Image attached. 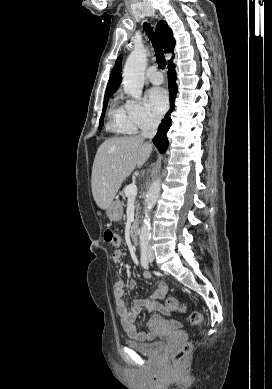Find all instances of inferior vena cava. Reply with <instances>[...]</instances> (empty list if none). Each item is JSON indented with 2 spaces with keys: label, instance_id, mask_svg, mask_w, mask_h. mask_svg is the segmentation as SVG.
Returning a JSON list of instances; mask_svg holds the SVG:
<instances>
[{
  "label": "inferior vena cava",
  "instance_id": "602c4592",
  "mask_svg": "<svg viewBox=\"0 0 272 389\" xmlns=\"http://www.w3.org/2000/svg\"><path fill=\"white\" fill-rule=\"evenodd\" d=\"M159 123H160L159 119L149 117L142 127L141 136L143 138L152 139L157 132V128H158ZM149 250L151 251V249H149Z\"/></svg>",
  "mask_w": 272,
  "mask_h": 389
}]
</instances>
